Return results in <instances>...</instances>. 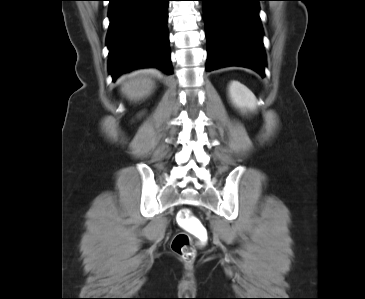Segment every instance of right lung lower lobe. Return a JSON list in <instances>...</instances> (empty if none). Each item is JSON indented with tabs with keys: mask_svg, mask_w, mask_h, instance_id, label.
Returning a JSON list of instances; mask_svg holds the SVG:
<instances>
[{
	"mask_svg": "<svg viewBox=\"0 0 365 299\" xmlns=\"http://www.w3.org/2000/svg\"><path fill=\"white\" fill-rule=\"evenodd\" d=\"M109 1L106 44L113 80L142 67H157L172 74L166 27L169 0Z\"/></svg>",
	"mask_w": 365,
	"mask_h": 299,
	"instance_id": "obj_1",
	"label": "right lung lower lobe"
}]
</instances>
